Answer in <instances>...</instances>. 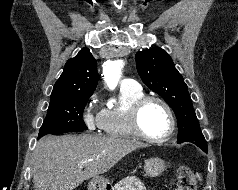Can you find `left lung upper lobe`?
Here are the masks:
<instances>
[{"label": "left lung upper lobe", "instance_id": "obj_1", "mask_svg": "<svg viewBox=\"0 0 238 190\" xmlns=\"http://www.w3.org/2000/svg\"><path fill=\"white\" fill-rule=\"evenodd\" d=\"M136 65L147 87L159 94L175 112L179 128L177 142H191L207 151L188 87L171 57L161 48H151L136 54Z\"/></svg>", "mask_w": 238, "mask_h": 190}]
</instances>
